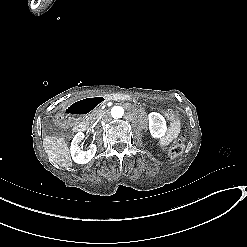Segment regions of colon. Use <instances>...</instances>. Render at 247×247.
<instances>
[{
	"mask_svg": "<svg viewBox=\"0 0 247 247\" xmlns=\"http://www.w3.org/2000/svg\"><path fill=\"white\" fill-rule=\"evenodd\" d=\"M163 116L168 119L169 122L174 123L176 121H182V117H180L179 113L176 111H171L170 109H165L163 111ZM186 138L185 136H180L171 147L168 149V155L170 158H177L185 148Z\"/></svg>",
	"mask_w": 247,
	"mask_h": 247,
	"instance_id": "1",
	"label": "colon"
}]
</instances>
